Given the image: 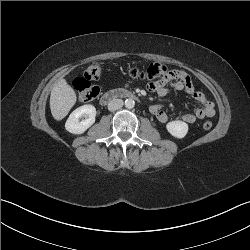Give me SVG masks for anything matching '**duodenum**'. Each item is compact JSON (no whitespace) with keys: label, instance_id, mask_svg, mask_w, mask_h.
I'll use <instances>...</instances> for the list:
<instances>
[{"label":"duodenum","instance_id":"1","mask_svg":"<svg viewBox=\"0 0 250 250\" xmlns=\"http://www.w3.org/2000/svg\"><path fill=\"white\" fill-rule=\"evenodd\" d=\"M120 98H133L136 99V95L133 94L130 91L123 90V89H116V90H111L106 93H104L100 99V102L102 105H107L108 103L120 99Z\"/></svg>","mask_w":250,"mask_h":250}]
</instances>
